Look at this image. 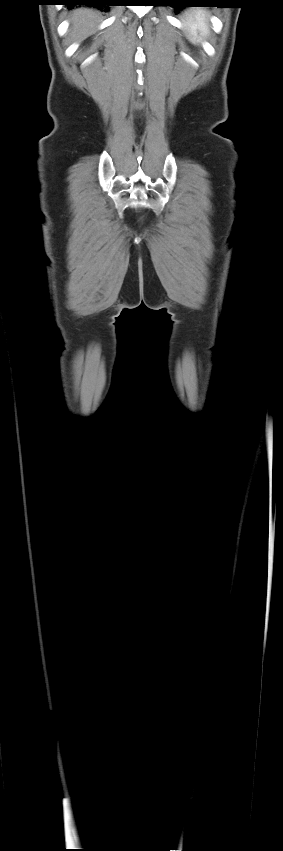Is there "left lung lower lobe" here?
Returning <instances> with one entry per match:
<instances>
[{
    "label": "left lung lower lobe",
    "instance_id": "obj_1",
    "mask_svg": "<svg viewBox=\"0 0 283 851\" xmlns=\"http://www.w3.org/2000/svg\"><path fill=\"white\" fill-rule=\"evenodd\" d=\"M214 0H184V3L174 5L175 7H188L189 4H213Z\"/></svg>",
    "mask_w": 283,
    "mask_h": 851
}]
</instances>
